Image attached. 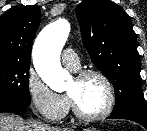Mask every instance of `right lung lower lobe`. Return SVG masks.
I'll list each match as a JSON object with an SVG mask.
<instances>
[{"instance_id": "98d812e1", "label": "right lung lower lobe", "mask_w": 147, "mask_h": 131, "mask_svg": "<svg viewBox=\"0 0 147 131\" xmlns=\"http://www.w3.org/2000/svg\"><path fill=\"white\" fill-rule=\"evenodd\" d=\"M28 106H21L14 104L12 102L0 101V113L1 112H9V113H17L24 111Z\"/></svg>"}]
</instances>
